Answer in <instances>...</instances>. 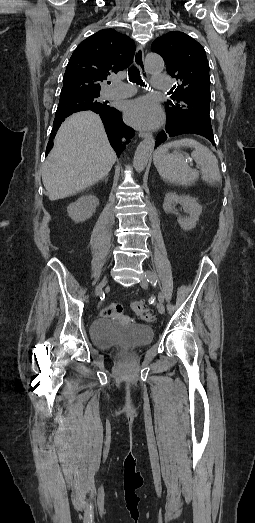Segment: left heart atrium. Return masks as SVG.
<instances>
[{"label":"left heart atrium","instance_id":"1","mask_svg":"<svg viewBox=\"0 0 255 523\" xmlns=\"http://www.w3.org/2000/svg\"><path fill=\"white\" fill-rule=\"evenodd\" d=\"M124 115L128 122L138 127H154L162 120L159 104L150 97H140L124 103Z\"/></svg>","mask_w":255,"mask_h":523}]
</instances>
